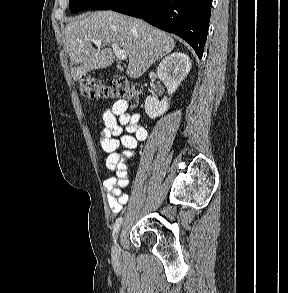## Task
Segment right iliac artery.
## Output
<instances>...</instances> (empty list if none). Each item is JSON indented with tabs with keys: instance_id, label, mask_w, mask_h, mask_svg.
<instances>
[{
	"instance_id": "1",
	"label": "right iliac artery",
	"mask_w": 288,
	"mask_h": 293,
	"mask_svg": "<svg viewBox=\"0 0 288 293\" xmlns=\"http://www.w3.org/2000/svg\"><path fill=\"white\" fill-rule=\"evenodd\" d=\"M122 223V217H119L116 222H115V225H114V229H113V237L116 238L117 236V233H118V230L120 228V225Z\"/></svg>"
}]
</instances>
